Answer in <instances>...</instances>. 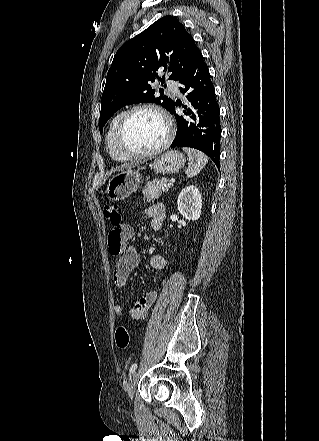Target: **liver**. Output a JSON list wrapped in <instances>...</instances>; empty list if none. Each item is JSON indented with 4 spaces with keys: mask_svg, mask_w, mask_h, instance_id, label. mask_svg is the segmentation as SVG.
Returning <instances> with one entry per match:
<instances>
[{
    "mask_svg": "<svg viewBox=\"0 0 319 441\" xmlns=\"http://www.w3.org/2000/svg\"><path fill=\"white\" fill-rule=\"evenodd\" d=\"M137 165H138V163H135V162L125 163V164H122L121 166L116 167L115 170L122 171V170H126V169H129V168L135 167Z\"/></svg>",
    "mask_w": 319,
    "mask_h": 441,
    "instance_id": "liver-1",
    "label": "liver"
}]
</instances>
